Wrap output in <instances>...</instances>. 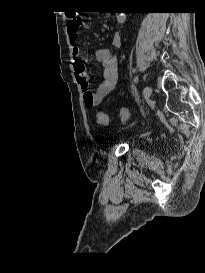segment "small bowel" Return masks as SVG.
<instances>
[{"instance_id":"c3829d8e","label":"small bowel","mask_w":205,"mask_h":273,"mask_svg":"<svg viewBox=\"0 0 205 273\" xmlns=\"http://www.w3.org/2000/svg\"><path fill=\"white\" fill-rule=\"evenodd\" d=\"M78 18H70L67 23L70 44L72 47L74 62V73L78 83L84 93V105L88 109L97 107L109 94H111L118 85V63L108 48H97L94 51V57L99 62L102 68V81L95 91H91L88 86V76L85 72L84 63L81 61L84 58L81 47L78 44V33L81 28L76 27ZM83 28H88L86 22L82 23ZM122 38L120 35H115L112 40V45L117 47L121 44Z\"/></svg>"}]
</instances>
